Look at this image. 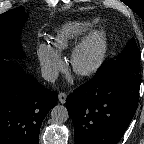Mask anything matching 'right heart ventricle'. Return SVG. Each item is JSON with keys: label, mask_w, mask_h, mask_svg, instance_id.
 Returning a JSON list of instances; mask_svg holds the SVG:
<instances>
[{"label": "right heart ventricle", "mask_w": 144, "mask_h": 144, "mask_svg": "<svg viewBox=\"0 0 144 144\" xmlns=\"http://www.w3.org/2000/svg\"><path fill=\"white\" fill-rule=\"evenodd\" d=\"M94 21H69L61 25L51 37L55 49L63 51L85 36L93 27Z\"/></svg>", "instance_id": "1"}]
</instances>
